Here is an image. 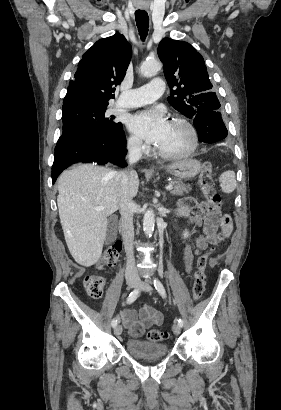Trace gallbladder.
<instances>
[{
	"label": "gallbladder",
	"instance_id": "gallbladder-1",
	"mask_svg": "<svg viewBox=\"0 0 281 410\" xmlns=\"http://www.w3.org/2000/svg\"><path fill=\"white\" fill-rule=\"evenodd\" d=\"M114 237H115V232L108 229L107 236H106V242L110 243L114 239Z\"/></svg>",
	"mask_w": 281,
	"mask_h": 410
}]
</instances>
